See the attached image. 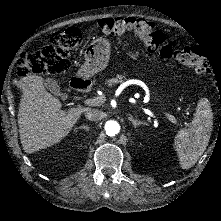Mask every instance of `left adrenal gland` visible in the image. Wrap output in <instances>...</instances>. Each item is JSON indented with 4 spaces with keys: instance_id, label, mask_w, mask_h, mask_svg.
Masks as SVG:
<instances>
[{
    "instance_id": "a2214340",
    "label": "left adrenal gland",
    "mask_w": 221,
    "mask_h": 221,
    "mask_svg": "<svg viewBox=\"0 0 221 221\" xmlns=\"http://www.w3.org/2000/svg\"><path fill=\"white\" fill-rule=\"evenodd\" d=\"M128 120L131 121L132 124H133L135 127L138 126V125H141V124H145V125H146V123H144V122H142V121H140V120L135 119L132 115H129Z\"/></svg>"
}]
</instances>
